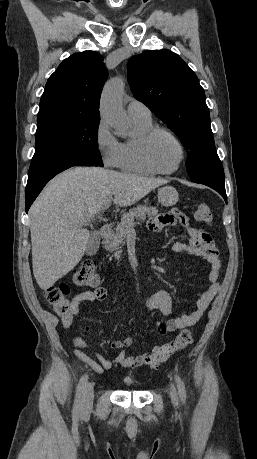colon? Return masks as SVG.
I'll return each instance as SVG.
<instances>
[{
    "mask_svg": "<svg viewBox=\"0 0 257 459\" xmlns=\"http://www.w3.org/2000/svg\"><path fill=\"white\" fill-rule=\"evenodd\" d=\"M194 216L199 222L210 223L212 220L210 206L207 203H200L195 209ZM73 279L77 285L82 287L95 286L99 282L95 262L89 259L82 261L74 271ZM44 299L59 316L67 317L76 309V304L69 297V286L67 284H60L45 289ZM191 343L192 332L188 329L183 330L171 342L154 348L152 353L147 357L146 363L155 368L160 363L166 361L171 355L186 348Z\"/></svg>",
    "mask_w": 257,
    "mask_h": 459,
    "instance_id": "obj_1",
    "label": "colon"
}]
</instances>
